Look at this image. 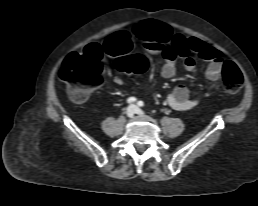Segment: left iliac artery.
I'll return each mask as SVG.
<instances>
[{
  "instance_id": "44dca946",
  "label": "left iliac artery",
  "mask_w": 258,
  "mask_h": 206,
  "mask_svg": "<svg viewBox=\"0 0 258 206\" xmlns=\"http://www.w3.org/2000/svg\"><path fill=\"white\" fill-rule=\"evenodd\" d=\"M138 105H139L140 107H144V103H143L142 101H139V102H138Z\"/></svg>"
}]
</instances>
